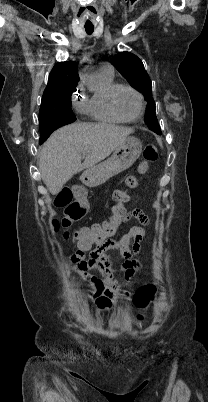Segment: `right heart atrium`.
I'll return each mask as SVG.
<instances>
[{
  "mask_svg": "<svg viewBox=\"0 0 208 402\" xmlns=\"http://www.w3.org/2000/svg\"><path fill=\"white\" fill-rule=\"evenodd\" d=\"M82 90H83L82 84H78V86L76 87L75 91L71 96V102L73 107L80 112L87 110V104L83 101H78V95H80V92Z\"/></svg>",
  "mask_w": 208,
  "mask_h": 402,
  "instance_id": "d8ad5b80",
  "label": "right heart atrium"
}]
</instances>
